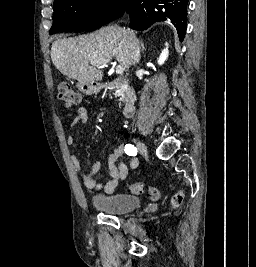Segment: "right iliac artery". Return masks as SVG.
I'll return each instance as SVG.
<instances>
[{
    "instance_id": "1",
    "label": "right iliac artery",
    "mask_w": 256,
    "mask_h": 267,
    "mask_svg": "<svg viewBox=\"0 0 256 267\" xmlns=\"http://www.w3.org/2000/svg\"><path fill=\"white\" fill-rule=\"evenodd\" d=\"M124 150H125V153L129 156H135L137 154V148L131 144H126Z\"/></svg>"
}]
</instances>
